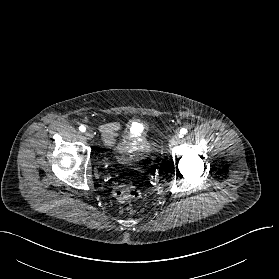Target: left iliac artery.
<instances>
[{"mask_svg": "<svg viewBox=\"0 0 279 279\" xmlns=\"http://www.w3.org/2000/svg\"><path fill=\"white\" fill-rule=\"evenodd\" d=\"M186 133H187V129L182 128V129L180 130V134H181V135H185Z\"/></svg>", "mask_w": 279, "mask_h": 279, "instance_id": "44dca946", "label": "left iliac artery"}]
</instances>
